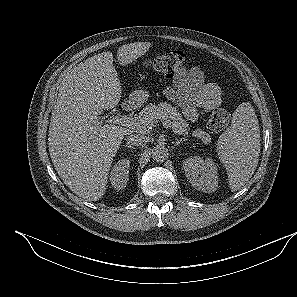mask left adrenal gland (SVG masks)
Here are the masks:
<instances>
[{"instance_id":"1","label":"left adrenal gland","mask_w":297,"mask_h":297,"mask_svg":"<svg viewBox=\"0 0 297 297\" xmlns=\"http://www.w3.org/2000/svg\"><path fill=\"white\" fill-rule=\"evenodd\" d=\"M186 139H177L175 142H173V144L175 146H179L181 142L185 141Z\"/></svg>"}]
</instances>
